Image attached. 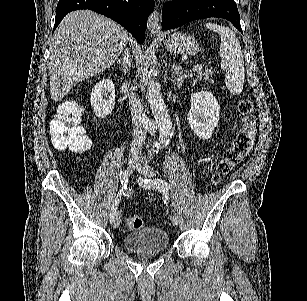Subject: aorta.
Instances as JSON below:
<instances>
[{
	"mask_svg": "<svg viewBox=\"0 0 307 301\" xmlns=\"http://www.w3.org/2000/svg\"><path fill=\"white\" fill-rule=\"evenodd\" d=\"M148 78H146L147 84V100L151 108V112L158 124L159 136L157 142H155V148H161V144L168 142L173 134V124L170 118V114L167 110V106L162 98V94L159 88V82H156L152 78V70H147Z\"/></svg>",
	"mask_w": 307,
	"mask_h": 301,
	"instance_id": "aorta-1",
	"label": "aorta"
}]
</instances>
